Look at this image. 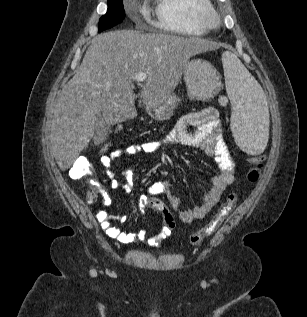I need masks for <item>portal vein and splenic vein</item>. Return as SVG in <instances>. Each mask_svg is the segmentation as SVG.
Segmentation results:
<instances>
[{
	"mask_svg": "<svg viewBox=\"0 0 307 317\" xmlns=\"http://www.w3.org/2000/svg\"><path fill=\"white\" fill-rule=\"evenodd\" d=\"M148 74L144 73V72H139L136 76H135V81L137 83H141L143 82L146 78H147Z\"/></svg>",
	"mask_w": 307,
	"mask_h": 317,
	"instance_id": "1",
	"label": "portal vein and splenic vein"
}]
</instances>
